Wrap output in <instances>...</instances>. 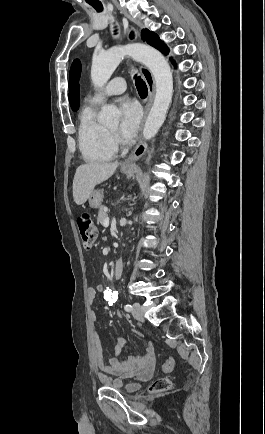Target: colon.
<instances>
[{"mask_svg": "<svg viewBox=\"0 0 265 434\" xmlns=\"http://www.w3.org/2000/svg\"><path fill=\"white\" fill-rule=\"evenodd\" d=\"M76 223L80 240L84 249H91L95 245L97 238V230L94 224L93 217L90 214H82L76 217ZM175 365L174 359H167L162 365L160 372L163 374L169 373L173 370ZM171 387L169 380L162 378L156 379L151 382L150 389L156 393H162L167 391Z\"/></svg>", "mask_w": 265, "mask_h": 434, "instance_id": "1", "label": "colon"}]
</instances>
